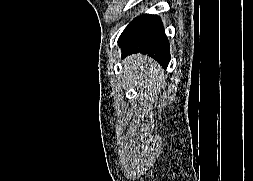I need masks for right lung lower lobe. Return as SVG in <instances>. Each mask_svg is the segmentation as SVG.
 Returning <instances> with one entry per match:
<instances>
[{
    "label": "right lung lower lobe",
    "mask_w": 253,
    "mask_h": 181,
    "mask_svg": "<svg viewBox=\"0 0 253 181\" xmlns=\"http://www.w3.org/2000/svg\"><path fill=\"white\" fill-rule=\"evenodd\" d=\"M122 58L133 53L148 54L164 68L170 61L169 43L160 18L144 14L135 18L123 31L119 40Z\"/></svg>",
    "instance_id": "98d812e1"
}]
</instances>
